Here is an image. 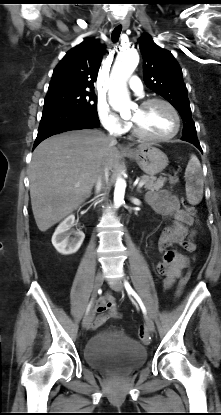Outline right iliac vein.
<instances>
[{
	"mask_svg": "<svg viewBox=\"0 0 221 415\" xmlns=\"http://www.w3.org/2000/svg\"><path fill=\"white\" fill-rule=\"evenodd\" d=\"M104 281V277L101 273H98L96 278H95V282H94V287H93V292H92V300L94 302L97 293L99 291V289L101 288L102 284ZM93 305L90 307L89 311L87 312V314L85 315L83 321H82V326L83 328H87L90 326L92 320H93Z\"/></svg>",
	"mask_w": 221,
	"mask_h": 415,
	"instance_id": "right-iliac-vein-1",
	"label": "right iliac vein"
}]
</instances>
